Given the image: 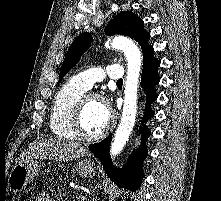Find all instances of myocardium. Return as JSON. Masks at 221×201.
<instances>
[{
  "mask_svg": "<svg viewBox=\"0 0 221 201\" xmlns=\"http://www.w3.org/2000/svg\"><path fill=\"white\" fill-rule=\"evenodd\" d=\"M90 101H99L101 102L107 109L109 113V123L108 125L98 134L95 135H89L86 134L83 130L82 127V116L85 110L86 105ZM115 124V118L111 110V106L109 101L102 95L100 94H95V93H88L84 94L77 102L73 115H72V120H71V128L76 136V138L85 140V141H96L104 136H106L110 130H112L113 126Z\"/></svg>",
  "mask_w": 221,
  "mask_h": 201,
  "instance_id": "obj_1",
  "label": "myocardium"
}]
</instances>
